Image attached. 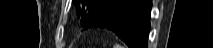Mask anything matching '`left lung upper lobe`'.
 Listing matches in <instances>:
<instances>
[{"mask_svg":"<svg viewBox=\"0 0 213 48\" xmlns=\"http://www.w3.org/2000/svg\"><path fill=\"white\" fill-rule=\"evenodd\" d=\"M80 23L84 26L90 18L111 0H73Z\"/></svg>","mask_w":213,"mask_h":48,"instance_id":"1","label":"left lung upper lobe"}]
</instances>
